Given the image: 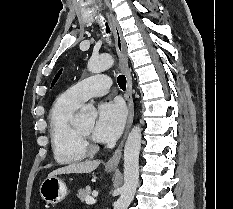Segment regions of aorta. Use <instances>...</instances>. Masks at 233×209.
Here are the masks:
<instances>
[{
	"mask_svg": "<svg viewBox=\"0 0 233 209\" xmlns=\"http://www.w3.org/2000/svg\"><path fill=\"white\" fill-rule=\"evenodd\" d=\"M114 64L111 55L104 54L89 60L87 68L92 73L103 72ZM97 116L96 110L92 106L83 107L76 115L75 121L80 125L93 124ZM142 129L134 126L124 147V184L121 195L114 204V209H127L132 202L139 180V152L141 148Z\"/></svg>",
	"mask_w": 233,
	"mask_h": 209,
	"instance_id": "1",
	"label": "aorta"
}]
</instances>
